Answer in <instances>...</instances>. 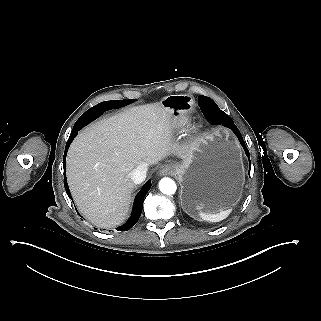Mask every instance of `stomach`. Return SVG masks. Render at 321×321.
I'll list each match as a JSON object with an SVG mask.
<instances>
[{"mask_svg": "<svg viewBox=\"0 0 321 321\" xmlns=\"http://www.w3.org/2000/svg\"><path fill=\"white\" fill-rule=\"evenodd\" d=\"M161 104L179 116L190 112L195 100L190 94H176L162 98ZM174 168L182 208L193 218L202 210L221 211L241 198L245 182L242 152L228 128L220 127L192 141L183 161Z\"/></svg>", "mask_w": 321, "mask_h": 321, "instance_id": "0dacf381", "label": "stomach"}]
</instances>
